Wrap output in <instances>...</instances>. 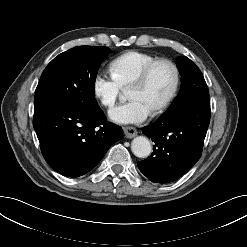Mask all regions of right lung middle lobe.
Wrapping results in <instances>:
<instances>
[{
  "label": "right lung middle lobe",
  "mask_w": 247,
  "mask_h": 247,
  "mask_svg": "<svg viewBox=\"0 0 247 247\" xmlns=\"http://www.w3.org/2000/svg\"><path fill=\"white\" fill-rule=\"evenodd\" d=\"M109 52L107 47L77 46L55 57L41 75L34 109L66 100L86 110H98L94 85L98 68Z\"/></svg>",
  "instance_id": "dd1d6c3e"
}]
</instances>
